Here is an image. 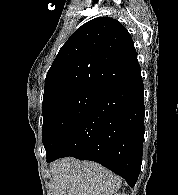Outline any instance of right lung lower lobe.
<instances>
[{
    "instance_id": "1",
    "label": "right lung lower lobe",
    "mask_w": 178,
    "mask_h": 195,
    "mask_svg": "<svg viewBox=\"0 0 178 195\" xmlns=\"http://www.w3.org/2000/svg\"><path fill=\"white\" fill-rule=\"evenodd\" d=\"M144 113L139 71L101 89L78 124L46 155L47 162L66 156L92 160L133 187L142 164Z\"/></svg>"
}]
</instances>
